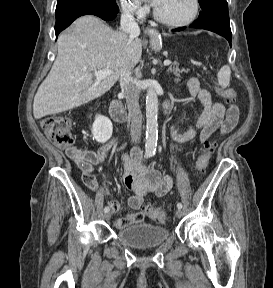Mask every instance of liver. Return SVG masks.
<instances>
[{"mask_svg":"<svg viewBox=\"0 0 273 288\" xmlns=\"http://www.w3.org/2000/svg\"><path fill=\"white\" fill-rule=\"evenodd\" d=\"M58 54L34 97L35 119L84 105L104 95L126 70L140 61L142 43L123 31H114L97 17L77 19L71 32L57 40ZM111 74L93 82V72Z\"/></svg>","mask_w":273,"mask_h":288,"instance_id":"6515ba94","label":"liver"}]
</instances>
